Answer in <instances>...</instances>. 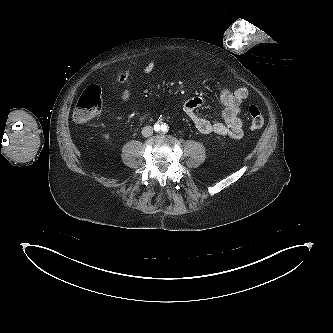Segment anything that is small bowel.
<instances>
[{
    "instance_id": "small-bowel-1",
    "label": "small bowel",
    "mask_w": 333,
    "mask_h": 333,
    "mask_svg": "<svg viewBox=\"0 0 333 333\" xmlns=\"http://www.w3.org/2000/svg\"><path fill=\"white\" fill-rule=\"evenodd\" d=\"M153 69V61H149L143 68L145 73H149ZM130 94V90L125 88L120 94V99L122 101H127L130 98ZM247 97L248 89L244 86L236 89L224 88L220 93V101L224 106L222 121H210L198 114V109L204 105V99L200 97H194L187 100L183 105V110L200 133H213L221 136H228L233 139H240L243 135L240 112Z\"/></svg>"
}]
</instances>
